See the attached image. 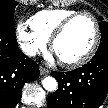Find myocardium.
<instances>
[{"mask_svg":"<svg viewBox=\"0 0 108 108\" xmlns=\"http://www.w3.org/2000/svg\"><path fill=\"white\" fill-rule=\"evenodd\" d=\"M80 17H88L92 20L95 28V35L92 44L88 48V50L79 58L70 60V61H64L60 60L61 65L67 68H76L83 64H85L96 52V49L98 47L100 37H101V31H100V25L97 20V18L90 12L82 11L77 12L68 18H66L53 32L52 36L50 37V46L53 49L56 41L65 33V31L68 29V27L78 18Z\"/></svg>","mask_w":108,"mask_h":108,"instance_id":"f54148a6","label":"myocardium"}]
</instances>
